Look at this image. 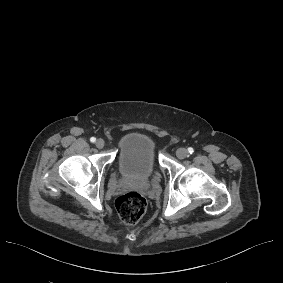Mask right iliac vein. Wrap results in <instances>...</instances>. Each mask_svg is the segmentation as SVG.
<instances>
[{
  "mask_svg": "<svg viewBox=\"0 0 283 283\" xmlns=\"http://www.w3.org/2000/svg\"><path fill=\"white\" fill-rule=\"evenodd\" d=\"M95 145H96L97 148L101 149V148L104 147L105 142H104L103 139H98V140L96 141Z\"/></svg>",
  "mask_w": 283,
  "mask_h": 283,
  "instance_id": "1",
  "label": "right iliac vein"
}]
</instances>
